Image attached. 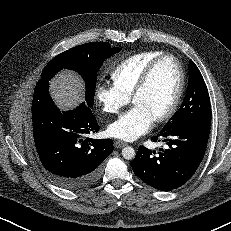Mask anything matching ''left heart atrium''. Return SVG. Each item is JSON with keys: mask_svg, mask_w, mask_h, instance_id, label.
I'll list each match as a JSON object with an SVG mask.
<instances>
[{"mask_svg": "<svg viewBox=\"0 0 231 231\" xmlns=\"http://www.w3.org/2000/svg\"><path fill=\"white\" fill-rule=\"evenodd\" d=\"M155 118L141 106H133L108 126V133L117 139L133 141L148 132Z\"/></svg>", "mask_w": 231, "mask_h": 231, "instance_id": "1", "label": "left heart atrium"}]
</instances>
